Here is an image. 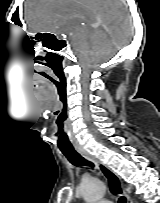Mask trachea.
<instances>
[{"instance_id": "3493384b", "label": "trachea", "mask_w": 160, "mask_h": 203, "mask_svg": "<svg viewBox=\"0 0 160 203\" xmlns=\"http://www.w3.org/2000/svg\"><path fill=\"white\" fill-rule=\"evenodd\" d=\"M62 153L69 160V162L75 166H89L94 167V164L85 158H83L80 154H78L75 150H62ZM119 203H126L125 197L119 198Z\"/></svg>"}]
</instances>
